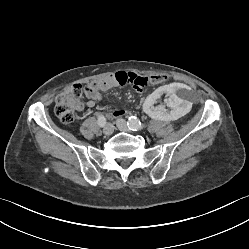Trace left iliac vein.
Masks as SVG:
<instances>
[{
	"label": "left iliac vein",
	"instance_id": "1",
	"mask_svg": "<svg viewBox=\"0 0 249 249\" xmlns=\"http://www.w3.org/2000/svg\"><path fill=\"white\" fill-rule=\"evenodd\" d=\"M116 124H117V127L121 130V131H124V132H129V128L126 124V121L124 119H117L116 121Z\"/></svg>",
	"mask_w": 249,
	"mask_h": 249
}]
</instances>
